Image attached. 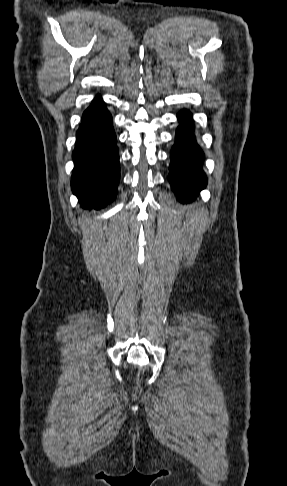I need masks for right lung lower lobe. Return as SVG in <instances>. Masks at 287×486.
I'll use <instances>...</instances> for the list:
<instances>
[{"label":"right lung lower lobe","mask_w":287,"mask_h":486,"mask_svg":"<svg viewBox=\"0 0 287 486\" xmlns=\"http://www.w3.org/2000/svg\"><path fill=\"white\" fill-rule=\"evenodd\" d=\"M76 136L72 190L84 208L99 209L115 198L120 179L112 117L100 96L83 113Z\"/></svg>","instance_id":"98d812e1"}]
</instances>
